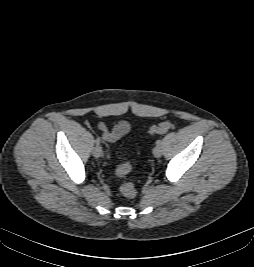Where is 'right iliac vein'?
<instances>
[{
    "mask_svg": "<svg viewBox=\"0 0 254 267\" xmlns=\"http://www.w3.org/2000/svg\"><path fill=\"white\" fill-rule=\"evenodd\" d=\"M93 155L96 158H98V157H100L102 155V148H101V146L97 145V146L94 147V149H93Z\"/></svg>",
    "mask_w": 254,
    "mask_h": 267,
    "instance_id": "63e3f726",
    "label": "right iliac vein"
}]
</instances>
